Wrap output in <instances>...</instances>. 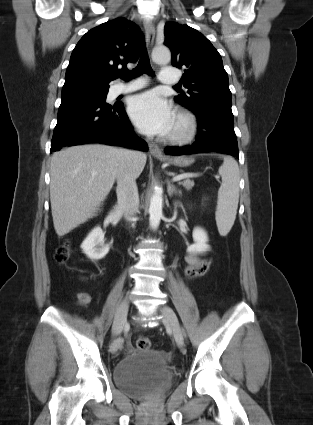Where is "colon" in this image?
Segmentation results:
<instances>
[{"label": "colon", "instance_id": "obj_1", "mask_svg": "<svg viewBox=\"0 0 313 425\" xmlns=\"http://www.w3.org/2000/svg\"><path fill=\"white\" fill-rule=\"evenodd\" d=\"M70 256V247L67 243L59 246L55 252V260L59 264H65ZM211 267V261L206 260L203 261V263L198 266H190L187 267L184 271L185 277L189 280H193L195 278L201 277L204 274H206ZM136 346L140 350H148L151 348V341L149 338L145 336H140L136 340Z\"/></svg>", "mask_w": 313, "mask_h": 425}]
</instances>
